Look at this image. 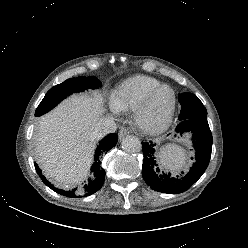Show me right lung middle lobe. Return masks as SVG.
Listing matches in <instances>:
<instances>
[{
  "mask_svg": "<svg viewBox=\"0 0 248 248\" xmlns=\"http://www.w3.org/2000/svg\"><path fill=\"white\" fill-rule=\"evenodd\" d=\"M101 86V83L95 77H78L67 79L61 84L51 88L44 99L41 101L36 109L35 116L43 115L55 107L60 101L68 95L75 92H82L85 89H95Z\"/></svg>",
  "mask_w": 248,
  "mask_h": 248,
  "instance_id": "1",
  "label": "right lung middle lobe"
}]
</instances>
